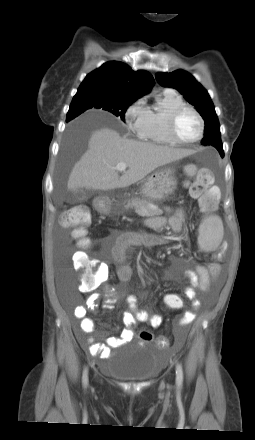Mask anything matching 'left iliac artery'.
Returning a JSON list of instances; mask_svg holds the SVG:
<instances>
[{
  "label": "left iliac artery",
  "instance_id": "1",
  "mask_svg": "<svg viewBox=\"0 0 255 440\" xmlns=\"http://www.w3.org/2000/svg\"><path fill=\"white\" fill-rule=\"evenodd\" d=\"M176 383L178 387H181L183 383V370L180 364L176 365Z\"/></svg>",
  "mask_w": 255,
  "mask_h": 440
}]
</instances>
